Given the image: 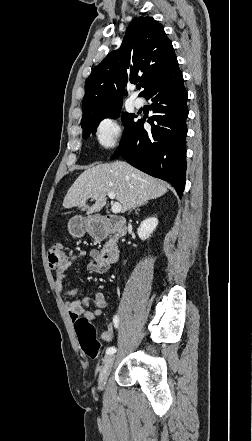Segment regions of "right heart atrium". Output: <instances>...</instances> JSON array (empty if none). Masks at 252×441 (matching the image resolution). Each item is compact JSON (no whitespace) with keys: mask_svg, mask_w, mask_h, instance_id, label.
Returning a JSON list of instances; mask_svg holds the SVG:
<instances>
[{"mask_svg":"<svg viewBox=\"0 0 252 441\" xmlns=\"http://www.w3.org/2000/svg\"><path fill=\"white\" fill-rule=\"evenodd\" d=\"M122 126L118 119L106 117L102 119L95 131V139L98 146L103 150L115 148L121 139Z\"/></svg>","mask_w":252,"mask_h":441,"instance_id":"obj_1","label":"right heart atrium"}]
</instances>
